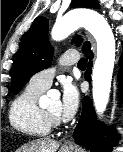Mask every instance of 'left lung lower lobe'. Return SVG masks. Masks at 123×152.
Wrapping results in <instances>:
<instances>
[{
  "label": "left lung lower lobe",
  "instance_id": "1",
  "mask_svg": "<svg viewBox=\"0 0 123 152\" xmlns=\"http://www.w3.org/2000/svg\"><path fill=\"white\" fill-rule=\"evenodd\" d=\"M86 57L92 59L90 44L86 43L83 47ZM122 69L119 72V94H123V54L120 58ZM92 63L89 62L85 78L90 82ZM73 137L75 141L91 149L93 152H111L113 145L116 143L117 134L110 128L104 127L96 120L95 112L89 99L86 97L83 102V110L77 127L74 130Z\"/></svg>",
  "mask_w": 123,
  "mask_h": 152
}]
</instances>
